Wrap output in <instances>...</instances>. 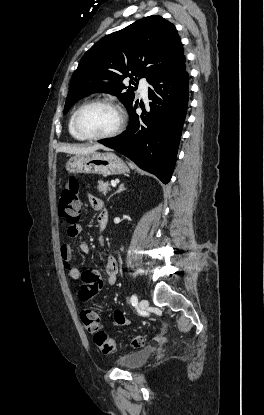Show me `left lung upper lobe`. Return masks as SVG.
I'll return each instance as SVG.
<instances>
[{"label":"left lung upper lobe","instance_id":"obj_1","mask_svg":"<svg viewBox=\"0 0 264 415\" xmlns=\"http://www.w3.org/2000/svg\"><path fill=\"white\" fill-rule=\"evenodd\" d=\"M183 54L175 26L161 16H148L105 36L84 54L74 71L64 114L76 101L96 92L116 95L128 109L135 103V94L131 86L123 92V79L131 77L137 87V78L149 82Z\"/></svg>","mask_w":264,"mask_h":415}]
</instances>
